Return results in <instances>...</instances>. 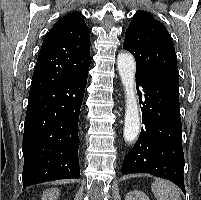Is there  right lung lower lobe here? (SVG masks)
<instances>
[{"mask_svg": "<svg viewBox=\"0 0 201 200\" xmlns=\"http://www.w3.org/2000/svg\"><path fill=\"white\" fill-rule=\"evenodd\" d=\"M89 66L71 80L30 92L22 144L23 190L80 178L77 127Z\"/></svg>", "mask_w": 201, "mask_h": 200, "instance_id": "98d812e1", "label": "right lung lower lobe"}]
</instances>
